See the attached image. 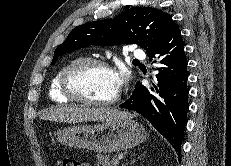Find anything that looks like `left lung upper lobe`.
<instances>
[{
  "mask_svg": "<svg viewBox=\"0 0 231 166\" xmlns=\"http://www.w3.org/2000/svg\"><path fill=\"white\" fill-rule=\"evenodd\" d=\"M177 26L170 14L150 7H133L106 20L75 27L60 44L51 64L66 53L90 45L112 46L120 43L139 44L146 52L154 49Z\"/></svg>",
  "mask_w": 231,
  "mask_h": 166,
  "instance_id": "left-lung-upper-lobe-1",
  "label": "left lung upper lobe"
}]
</instances>
